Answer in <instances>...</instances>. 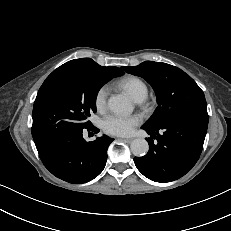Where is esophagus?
I'll return each instance as SVG.
<instances>
[{
    "label": "esophagus",
    "mask_w": 231,
    "mask_h": 231,
    "mask_svg": "<svg viewBox=\"0 0 231 231\" xmlns=\"http://www.w3.org/2000/svg\"><path fill=\"white\" fill-rule=\"evenodd\" d=\"M121 140L126 141V142H131L133 139L132 138H121Z\"/></svg>",
    "instance_id": "obj_1"
}]
</instances>
